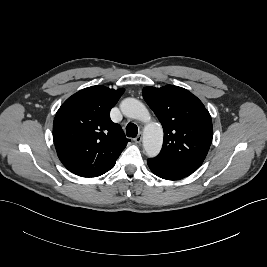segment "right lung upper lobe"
<instances>
[{"instance_id": "obj_1", "label": "right lung upper lobe", "mask_w": 267, "mask_h": 267, "mask_svg": "<svg viewBox=\"0 0 267 267\" xmlns=\"http://www.w3.org/2000/svg\"><path fill=\"white\" fill-rule=\"evenodd\" d=\"M124 89L96 85L80 90L59 108L53 140L59 159L72 173L97 177L109 171L130 139L110 119Z\"/></svg>"}]
</instances>
